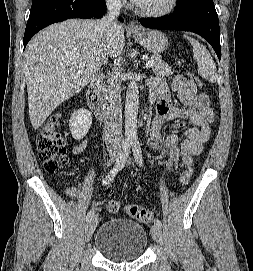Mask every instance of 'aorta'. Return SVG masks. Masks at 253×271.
I'll return each instance as SVG.
<instances>
[{"label":"aorta","mask_w":253,"mask_h":271,"mask_svg":"<svg viewBox=\"0 0 253 271\" xmlns=\"http://www.w3.org/2000/svg\"><path fill=\"white\" fill-rule=\"evenodd\" d=\"M139 106V89L132 80L127 88L125 100V138L127 141L137 140V115Z\"/></svg>","instance_id":"1"}]
</instances>
